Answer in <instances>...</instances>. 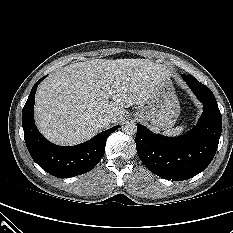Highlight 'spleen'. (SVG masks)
<instances>
[{"mask_svg":"<svg viewBox=\"0 0 233 233\" xmlns=\"http://www.w3.org/2000/svg\"><path fill=\"white\" fill-rule=\"evenodd\" d=\"M184 130H185V127L179 126V127L164 131L163 134L167 136H178V135H181L184 132Z\"/></svg>","mask_w":233,"mask_h":233,"instance_id":"obj_1","label":"spleen"}]
</instances>
